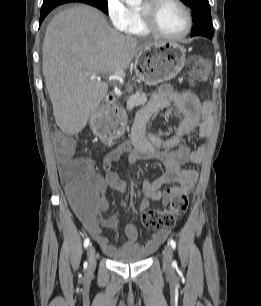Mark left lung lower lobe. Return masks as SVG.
Masks as SVG:
<instances>
[{"instance_id": "obj_1", "label": "left lung lower lobe", "mask_w": 261, "mask_h": 306, "mask_svg": "<svg viewBox=\"0 0 261 306\" xmlns=\"http://www.w3.org/2000/svg\"><path fill=\"white\" fill-rule=\"evenodd\" d=\"M209 39H212V36L208 37Z\"/></svg>"}]
</instances>
